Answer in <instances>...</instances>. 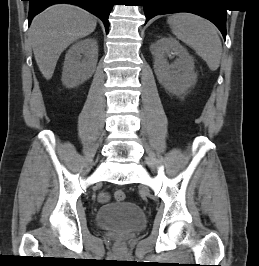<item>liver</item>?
Returning <instances> with one entry per match:
<instances>
[{
  "label": "liver",
  "instance_id": "liver-1",
  "mask_svg": "<svg viewBox=\"0 0 259 266\" xmlns=\"http://www.w3.org/2000/svg\"><path fill=\"white\" fill-rule=\"evenodd\" d=\"M96 25L94 15L67 4L50 6L33 19L29 38L45 79L52 78L61 53L76 40L94 32Z\"/></svg>",
  "mask_w": 259,
  "mask_h": 266
}]
</instances>
